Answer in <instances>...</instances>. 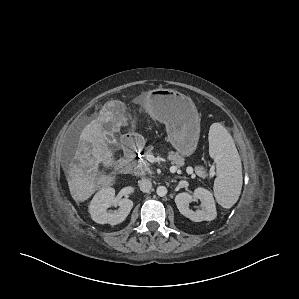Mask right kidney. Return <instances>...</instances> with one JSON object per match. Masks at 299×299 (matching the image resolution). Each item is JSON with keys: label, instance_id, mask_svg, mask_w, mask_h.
I'll use <instances>...</instances> for the list:
<instances>
[{"label": "right kidney", "instance_id": "right-kidney-1", "mask_svg": "<svg viewBox=\"0 0 299 299\" xmlns=\"http://www.w3.org/2000/svg\"><path fill=\"white\" fill-rule=\"evenodd\" d=\"M118 205L117 211L108 212L107 209L112 205ZM133 202L123 198L115 201V190L111 187L102 188L92 199L89 205L91 218L98 224L117 225L122 223L131 209Z\"/></svg>", "mask_w": 299, "mask_h": 299}]
</instances>
